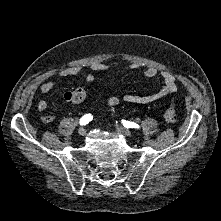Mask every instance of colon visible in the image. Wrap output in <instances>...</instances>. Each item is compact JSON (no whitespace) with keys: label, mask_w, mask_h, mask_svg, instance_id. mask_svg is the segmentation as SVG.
Wrapping results in <instances>:
<instances>
[{"label":"colon","mask_w":221,"mask_h":221,"mask_svg":"<svg viewBox=\"0 0 221 221\" xmlns=\"http://www.w3.org/2000/svg\"><path fill=\"white\" fill-rule=\"evenodd\" d=\"M86 95V91L81 88L73 91L69 96L68 100L72 103L80 102ZM164 120L168 124H173L176 122V109H175V97L170 96L169 98V106L164 114Z\"/></svg>","instance_id":"1"}]
</instances>
